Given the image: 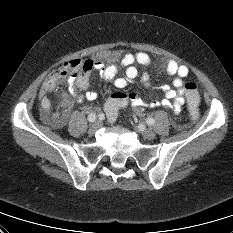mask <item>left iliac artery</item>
<instances>
[{
  "label": "left iliac artery",
  "mask_w": 233,
  "mask_h": 233,
  "mask_svg": "<svg viewBox=\"0 0 233 233\" xmlns=\"http://www.w3.org/2000/svg\"><path fill=\"white\" fill-rule=\"evenodd\" d=\"M146 123L148 124V125H153L154 123H155V121H154V119L153 118H148L147 120H146Z\"/></svg>",
  "instance_id": "obj_1"
}]
</instances>
